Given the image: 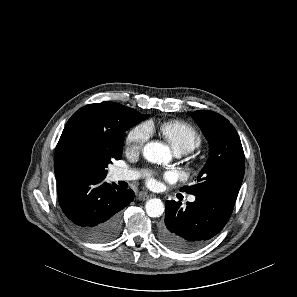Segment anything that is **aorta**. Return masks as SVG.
Instances as JSON below:
<instances>
[{
    "label": "aorta",
    "instance_id": "1",
    "mask_svg": "<svg viewBox=\"0 0 297 297\" xmlns=\"http://www.w3.org/2000/svg\"><path fill=\"white\" fill-rule=\"evenodd\" d=\"M143 156L152 163H162L168 160L170 153L163 144L152 141L143 148ZM145 210L150 217H159L164 212V204L160 199L153 198L146 202Z\"/></svg>",
    "mask_w": 297,
    "mask_h": 297
}]
</instances>
